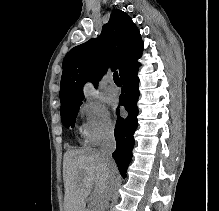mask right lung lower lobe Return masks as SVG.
Returning <instances> with one entry per match:
<instances>
[{
	"instance_id": "98d812e1",
	"label": "right lung lower lobe",
	"mask_w": 219,
	"mask_h": 211,
	"mask_svg": "<svg viewBox=\"0 0 219 211\" xmlns=\"http://www.w3.org/2000/svg\"><path fill=\"white\" fill-rule=\"evenodd\" d=\"M139 66L137 64L131 67L121 76L123 87L120 95V104L125 107L129 115L124 119L119 116V109H117L118 118L115 127L117 149L113 153V158L123 178L126 177V171L132 158L133 134L137 128V100L139 97L137 72Z\"/></svg>"
}]
</instances>
